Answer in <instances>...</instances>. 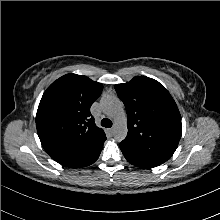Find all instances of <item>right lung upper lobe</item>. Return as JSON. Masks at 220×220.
<instances>
[{
    "label": "right lung upper lobe",
    "instance_id": "obj_1",
    "mask_svg": "<svg viewBox=\"0 0 220 220\" xmlns=\"http://www.w3.org/2000/svg\"><path fill=\"white\" fill-rule=\"evenodd\" d=\"M102 90V84L70 73L44 92L36 127L43 148L56 162L79 168L97 159L106 135L96 126L90 107Z\"/></svg>",
    "mask_w": 220,
    "mask_h": 220
}]
</instances>
